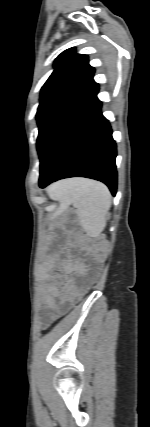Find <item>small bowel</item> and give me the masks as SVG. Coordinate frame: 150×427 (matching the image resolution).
Wrapping results in <instances>:
<instances>
[{"label":"small bowel","mask_w":150,"mask_h":427,"mask_svg":"<svg viewBox=\"0 0 150 427\" xmlns=\"http://www.w3.org/2000/svg\"><path fill=\"white\" fill-rule=\"evenodd\" d=\"M64 268L66 270L71 269L69 265H65ZM42 275L41 299L44 304V310L41 314V323L43 326H48L57 316L68 310L79 291L84 288L85 281L79 285L68 283L60 290L59 287L63 283V278L51 273L50 266L43 267ZM58 299L59 302L57 301Z\"/></svg>","instance_id":"1"}]
</instances>
